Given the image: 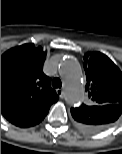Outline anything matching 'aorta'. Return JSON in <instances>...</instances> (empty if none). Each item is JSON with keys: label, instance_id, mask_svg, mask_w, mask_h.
<instances>
[{"label": "aorta", "instance_id": "aorta-1", "mask_svg": "<svg viewBox=\"0 0 122 154\" xmlns=\"http://www.w3.org/2000/svg\"><path fill=\"white\" fill-rule=\"evenodd\" d=\"M59 72L64 79L67 102L79 103L84 96L79 63L74 58L67 57L59 63Z\"/></svg>", "mask_w": 122, "mask_h": 154}]
</instances>
